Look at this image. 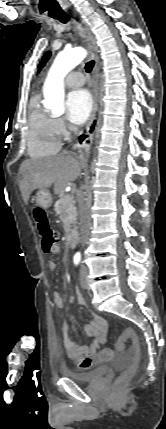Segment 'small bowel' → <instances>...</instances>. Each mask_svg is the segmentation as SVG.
Wrapping results in <instances>:
<instances>
[{"label": "small bowel", "instance_id": "obj_1", "mask_svg": "<svg viewBox=\"0 0 166 429\" xmlns=\"http://www.w3.org/2000/svg\"><path fill=\"white\" fill-rule=\"evenodd\" d=\"M59 251L60 247L56 244L49 252L57 254ZM56 267L55 261L50 260L48 262L49 270L54 271ZM76 296L80 304H86L84 297L79 291H76ZM53 298L58 308L64 306V298L59 292H55ZM61 330L67 357L74 362L79 369L87 370L99 366L113 357V352L111 350L101 348L102 345L107 342L108 324L107 321L99 315L93 314L92 320L84 327L85 333L95 338L88 345H81L70 339L69 323L67 321L64 320L62 322ZM130 354V351L124 353L125 356H129Z\"/></svg>", "mask_w": 166, "mask_h": 429}]
</instances>
